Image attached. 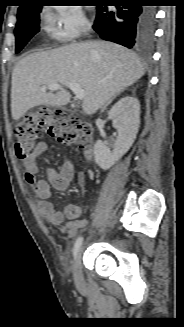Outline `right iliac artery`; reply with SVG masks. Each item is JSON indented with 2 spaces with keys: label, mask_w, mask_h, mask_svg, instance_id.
<instances>
[{
  "label": "right iliac artery",
  "mask_w": 184,
  "mask_h": 327,
  "mask_svg": "<svg viewBox=\"0 0 184 327\" xmlns=\"http://www.w3.org/2000/svg\"><path fill=\"white\" fill-rule=\"evenodd\" d=\"M82 243H83V237H78L75 242L74 249H73L74 256L77 255V252H78L79 248L81 247Z\"/></svg>",
  "instance_id": "obj_1"
}]
</instances>
